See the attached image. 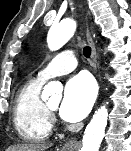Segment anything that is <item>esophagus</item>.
<instances>
[{
    "label": "esophagus",
    "instance_id": "obj_1",
    "mask_svg": "<svg viewBox=\"0 0 131 151\" xmlns=\"http://www.w3.org/2000/svg\"><path fill=\"white\" fill-rule=\"evenodd\" d=\"M87 37H88V41L91 45V62H92V67L94 69V71L96 72V67H97V54H96V48H95V44L94 41L92 39L91 33L89 28H87ZM78 145V141L77 139H71L69 141H67L64 145V149L65 150H72L74 149L76 146Z\"/></svg>",
    "mask_w": 131,
    "mask_h": 151
}]
</instances>
